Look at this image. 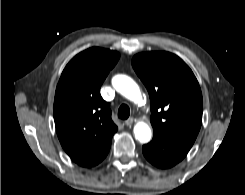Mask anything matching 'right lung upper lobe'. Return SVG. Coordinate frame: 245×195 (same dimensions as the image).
<instances>
[{
    "instance_id": "cb5924a9",
    "label": "right lung upper lobe",
    "mask_w": 245,
    "mask_h": 195,
    "mask_svg": "<svg viewBox=\"0 0 245 195\" xmlns=\"http://www.w3.org/2000/svg\"><path fill=\"white\" fill-rule=\"evenodd\" d=\"M120 55L92 47L65 67L54 99V121L60 143L80 166L99 164L108 154L117 126L100 87Z\"/></svg>"
}]
</instances>
